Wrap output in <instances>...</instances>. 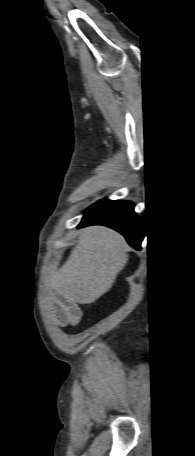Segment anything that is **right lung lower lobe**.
<instances>
[{"label": "right lung lower lobe", "instance_id": "obj_1", "mask_svg": "<svg viewBox=\"0 0 195 456\" xmlns=\"http://www.w3.org/2000/svg\"><path fill=\"white\" fill-rule=\"evenodd\" d=\"M105 225L120 232L128 243L141 248L143 240L142 220L135 214L134 205L127 201L101 200L85 213L79 227Z\"/></svg>", "mask_w": 195, "mask_h": 456}]
</instances>
